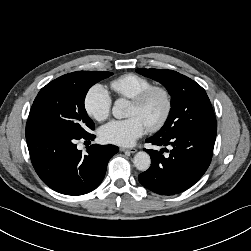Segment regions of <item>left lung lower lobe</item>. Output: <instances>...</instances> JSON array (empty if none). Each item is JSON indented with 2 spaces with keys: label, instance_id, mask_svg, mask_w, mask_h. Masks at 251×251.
I'll use <instances>...</instances> for the list:
<instances>
[{
  "label": "left lung lower lobe",
  "instance_id": "0a47b994",
  "mask_svg": "<svg viewBox=\"0 0 251 251\" xmlns=\"http://www.w3.org/2000/svg\"><path fill=\"white\" fill-rule=\"evenodd\" d=\"M217 128L183 130L167 137L152 136L147 143L171 145L169 156L144 149L151 156V167L138 176L147 189L160 195L181 193L194 185L205 173L212 159Z\"/></svg>",
  "mask_w": 251,
  "mask_h": 251
}]
</instances>
